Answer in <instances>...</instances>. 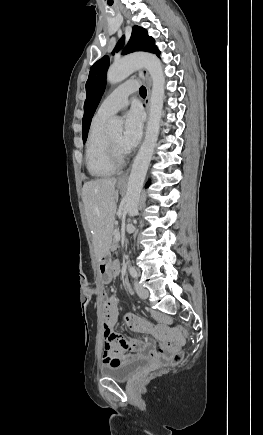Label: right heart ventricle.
<instances>
[{
  "label": "right heart ventricle",
  "mask_w": 263,
  "mask_h": 435,
  "mask_svg": "<svg viewBox=\"0 0 263 435\" xmlns=\"http://www.w3.org/2000/svg\"><path fill=\"white\" fill-rule=\"evenodd\" d=\"M107 118L95 116L92 119L85 146V162L89 174L95 178L111 176L116 167L111 162L104 133Z\"/></svg>",
  "instance_id": "1"
}]
</instances>
